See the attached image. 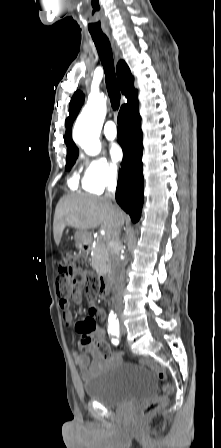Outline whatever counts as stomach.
I'll list each match as a JSON object with an SVG mask.
<instances>
[{
    "instance_id": "0dacf381",
    "label": "stomach",
    "mask_w": 221,
    "mask_h": 448,
    "mask_svg": "<svg viewBox=\"0 0 221 448\" xmlns=\"http://www.w3.org/2000/svg\"><path fill=\"white\" fill-rule=\"evenodd\" d=\"M90 233L84 230H78L75 234V239L78 245H82L88 241Z\"/></svg>"
}]
</instances>
